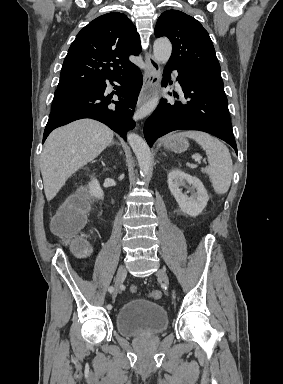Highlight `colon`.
Masks as SVG:
<instances>
[{"instance_id":"5ec220e1","label":"colon","mask_w":283,"mask_h":384,"mask_svg":"<svg viewBox=\"0 0 283 384\" xmlns=\"http://www.w3.org/2000/svg\"><path fill=\"white\" fill-rule=\"evenodd\" d=\"M89 204L83 195L70 197L56 212L52 220L53 230L60 236L71 240L74 252L79 256L90 254L88 243L79 236L80 229L86 222ZM150 297L158 300L162 297L159 290L150 292Z\"/></svg>"}]
</instances>
